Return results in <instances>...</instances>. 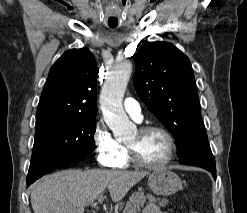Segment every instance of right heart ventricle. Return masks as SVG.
<instances>
[{
  "label": "right heart ventricle",
  "instance_id": "obj_1",
  "mask_svg": "<svg viewBox=\"0 0 247 213\" xmlns=\"http://www.w3.org/2000/svg\"><path fill=\"white\" fill-rule=\"evenodd\" d=\"M130 161L128 159V155L126 153V149L124 148V154H123V157L120 161V163L117 165V167H120V168H125L129 165Z\"/></svg>",
  "mask_w": 247,
  "mask_h": 213
}]
</instances>
